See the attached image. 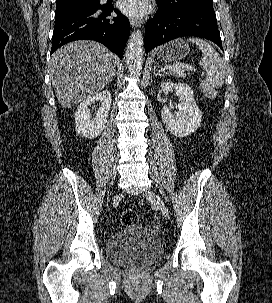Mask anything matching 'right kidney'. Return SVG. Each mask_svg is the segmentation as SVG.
<instances>
[{
    "label": "right kidney",
    "mask_w": 272,
    "mask_h": 303,
    "mask_svg": "<svg viewBox=\"0 0 272 303\" xmlns=\"http://www.w3.org/2000/svg\"><path fill=\"white\" fill-rule=\"evenodd\" d=\"M96 101L100 102V107L96 115L92 117L89 106ZM111 101V93L106 90L80 103L75 113L76 133L89 139L98 137L106 126Z\"/></svg>",
    "instance_id": "1"
}]
</instances>
